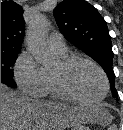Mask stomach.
Segmentation results:
<instances>
[{"instance_id": "0dacf381", "label": "stomach", "mask_w": 123, "mask_h": 130, "mask_svg": "<svg viewBox=\"0 0 123 130\" xmlns=\"http://www.w3.org/2000/svg\"><path fill=\"white\" fill-rule=\"evenodd\" d=\"M71 130H89V127L83 124H76L72 126Z\"/></svg>"}]
</instances>
